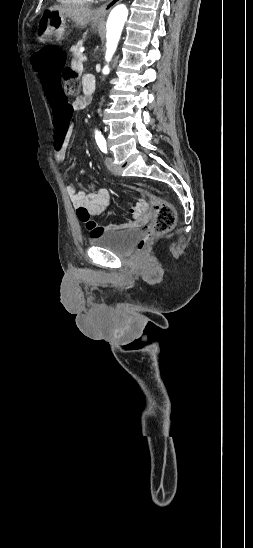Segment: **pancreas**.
I'll return each instance as SVG.
<instances>
[{"mask_svg":"<svg viewBox=\"0 0 253 548\" xmlns=\"http://www.w3.org/2000/svg\"><path fill=\"white\" fill-rule=\"evenodd\" d=\"M81 46H82V42H79L71 48V52L73 53L74 59L77 61H82L81 57L83 56V54L80 51Z\"/></svg>","mask_w":253,"mask_h":548,"instance_id":"obj_1","label":"pancreas"}]
</instances>
